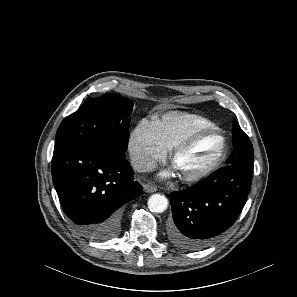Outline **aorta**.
<instances>
[{
    "label": "aorta",
    "instance_id": "obj_1",
    "mask_svg": "<svg viewBox=\"0 0 297 297\" xmlns=\"http://www.w3.org/2000/svg\"><path fill=\"white\" fill-rule=\"evenodd\" d=\"M168 206V200L164 195L153 194L148 199V207L151 212L162 213Z\"/></svg>",
    "mask_w": 297,
    "mask_h": 297
}]
</instances>
